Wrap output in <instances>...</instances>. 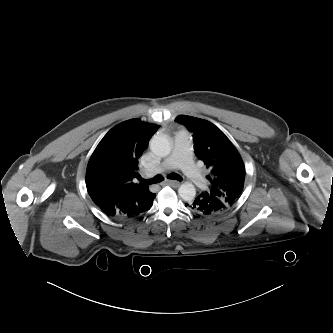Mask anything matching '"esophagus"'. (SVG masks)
<instances>
[{"label": "esophagus", "mask_w": 333, "mask_h": 333, "mask_svg": "<svg viewBox=\"0 0 333 333\" xmlns=\"http://www.w3.org/2000/svg\"><path fill=\"white\" fill-rule=\"evenodd\" d=\"M163 185H168V186H172V187L176 188L180 185V183L178 181H174V180H166V181H164Z\"/></svg>", "instance_id": "obj_1"}]
</instances>
